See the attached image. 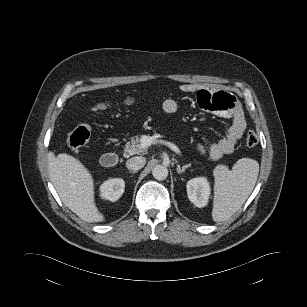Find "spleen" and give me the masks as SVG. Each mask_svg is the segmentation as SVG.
Segmentation results:
<instances>
[{"mask_svg": "<svg viewBox=\"0 0 307 307\" xmlns=\"http://www.w3.org/2000/svg\"><path fill=\"white\" fill-rule=\"evenodd\" d=\"M258 173V162L250 158L239 159L232 170L224 165L214 169L212 218L215 222L229 219L241 208L255 186Z\"/></svg>", "mask_w": 307, "mask_h": 307, "instance_id": "obj_1", "label": "spleen"}]
</instances>
